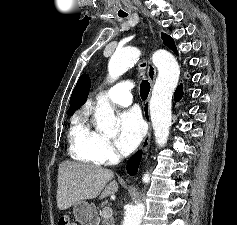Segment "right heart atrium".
Instances as JSON below:
<instances>
[{"label":"right heart atrium","mask_w":237,"mask_h":225,"mask_svg":"<svg viewBox=\"0 0 237 225\" xmlns=\"http://www.w3.org/2000/svg\"><path fill=\"white\" fill-rule=\"evenodd\" d=\"M95 152L99 160L105 164H112L118 158L111 140L102 135L95 142Z\"/></svg>","instance_id":"obj_1"}]
</instances>
